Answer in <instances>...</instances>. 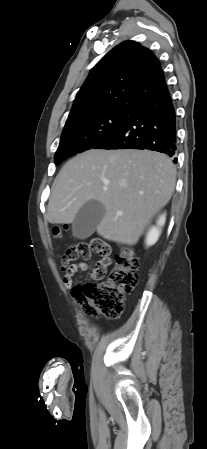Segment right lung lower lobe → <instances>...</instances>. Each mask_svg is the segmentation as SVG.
<instances>
[{"label":"right lung lower lobe","mask_w":207,"mask_h":449,"mask_svg":"<svg viewBox=\"0 0 207 449\" xmlns=\"http://www.w3.org/2000/svg\"><path fill=\"white\" fill-rule=\"evenodd\" d=\"M176 133V112L168 92L136 109L121 128L93 148L149 149L174 157L177 150Z\"/></svg>","instance_id":"1"}]
</instances>
